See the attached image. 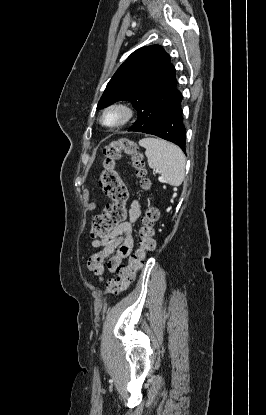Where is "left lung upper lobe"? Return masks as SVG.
<instances>
[{"label": "left lung upper lobe", "mask_w": 266, "mask_h": 415, "mask_svg": "<svg viewBox=\"0 0 266 415\" xmlns=\"http://www.w3.org/2000/svg\"><path fill=\"white\" fill-rule=\"evenodd\" d=\"M176 70L168 53L159 45L133 52L113 75L97 109L117 101H130L138 119L128 131L143 132L160 120L180 99Z\"/></svg>", "instance_id": "5c2ea615"}]
</instances>
